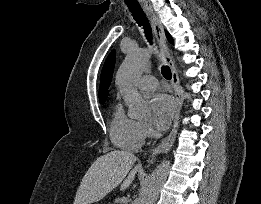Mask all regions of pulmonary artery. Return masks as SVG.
Instances as JSON below:
<instances>
[{
  "label": "pulmonary artery",
  "instance_id": "pulmonary-artery-1",
  "mask_svg": "<svg viewBox=\"0 0 261 204\" xmlns=\"http://www.w3.org/2000/svg\"><path fill=\"white\" fill-rule=\"evenodd\" d=\"M157 86H158V81L152 75H145L138 82V87L141 90H145V91L154 90L157 88Z\"/></svg>",
  "mask_w": 261,
  "mask_h": 204
}]
</instances>
